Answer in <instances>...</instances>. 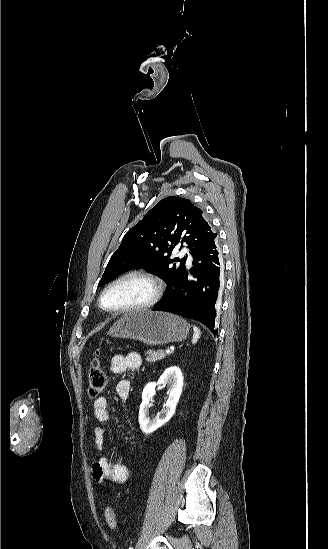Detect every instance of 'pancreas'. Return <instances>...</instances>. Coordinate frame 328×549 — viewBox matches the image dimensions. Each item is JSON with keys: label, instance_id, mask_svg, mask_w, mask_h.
I'll list each match as a JSON object with an SVG mask.
<instances>
[{"label": "pancreas", "instance_id": "1", "mask_svg": "<svg viewBox=\"0 0 328 549\" xmlns=\"http://www.w3.org/2000/svg\"><path fill=\"white\" fill-rule=\"evenodd\" d=\"M147 359L146 361H149V363H155V361H161V359H164L166 357L164 351H147L146 353Z\"/></svg>", "mask_w": 328, "mask_h": 549}]
</instances>
